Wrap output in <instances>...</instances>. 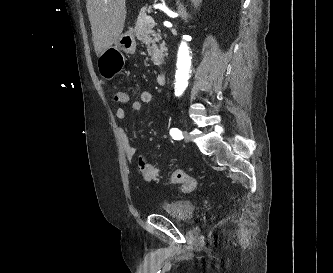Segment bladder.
Instances as JSON below:
<instances>
[{
  "mask_svg": "<svg viewBox=\"0 0 333 273\" xmlns=\"http://www.w3.org/2000/svg\"><path fill=\"white\" fill-rule=\"evenodd\" d=\"M195 207L192 202L188 200H178L169 204L161 212L169 218L175 220L180 224H189L194 215Z\"/></svg>",
  "mask_w": 333,
  "mask_h": 273,
  "instance_id": "1",
  "label": "bladder"
}]
</instances>
